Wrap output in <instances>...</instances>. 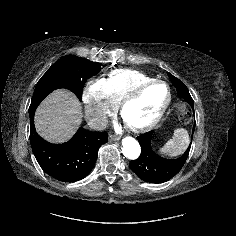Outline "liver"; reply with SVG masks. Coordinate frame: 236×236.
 <instances>
[{"instance_id": "6515ba94", "label": "liver", "mask_w": 236, "mask_h": 236, "mask_svg": "<svg viewBox=\"0 0 236 236\" xmlns=\"http://www.w3.org/2000/svg\"><path fill=\"white\" fill-rule=\"evenodd\" d=\"M81 122V104L73 93L65 89L56 90L46 97L35 114L38 134L53 143L69 140Z\"/></svg>"}]
</instances>
